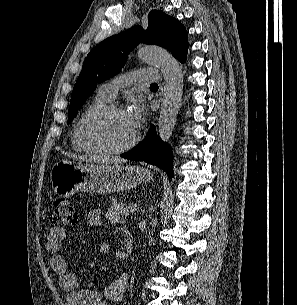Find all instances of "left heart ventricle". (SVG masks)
Returning a JSON list of instances; mask_svg holds the SVG:
<instances>
[{"label":"left heart ventricle","instance_id":"obj_1","mask_svg":"<svg viewBox=\"0 0 297 305\" xmlns=\"http://www.w3.org/2000/svg\"><path fill=\"white\" fill-rule=\"evenodd\" d=\"M125 112L111 113L97 118L89 124V136L108 148L126 144L135 134Z\"/></svg>","mask_w":297,"mask_h":305}]
</instances>
